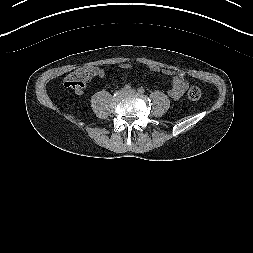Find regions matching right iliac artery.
Here are the masks:
<instances>
[{
  "label": "right iliac artery",
  "mask_w": 253,
  "mask_h": 253,
  "mask_svg": "<svg viewBox=\"0 0 253 253\" xmlns=\"http://www.w3.org/2000/svg\"><path fill=\"white\" fill-rule=\"evenodd\" d=\"M131 88V86L129 85V84H126L125 86H124V89L125 90H128V89H130Z\"/></svg>",
  "instance_id": "obj_1"
}]
</instances>
